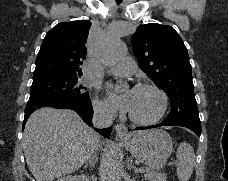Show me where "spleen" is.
<instances>
[{"instance_id":"1","label":"spleen","mask_w":228,"mask_h":181,"mask_svg":"<svg viewBox=\"0 0 228 181\" xmlns=\"http://www.w3.org/2000/svg\"><path fill=\"white\" fill-rule=\"evenodd\" d=\"M177 177L179 181H189L195 167V153L189 143H181L177 149Z\"/></svg>"}]
</instances>
